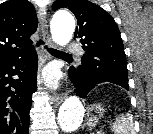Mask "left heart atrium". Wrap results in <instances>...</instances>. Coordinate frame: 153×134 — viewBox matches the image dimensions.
I'll list each match as a JSON object with an SVG mask.
<instances>
[{
    "label": "left heart atrium",
    "instance_id": "39dd6f15",
    "mask_svg": "<svg viewBox=\"0 0 153 134\" xmlns=\"http://www.w3.org/2000/svg\"><path fill=\"white\" fill-rule=\"evenodd\" d=\"M45 80L50 86H55L57 84L56 74L51 70L45 73Z\"/></svg>",
    "mask_w": 153,
    "mask_h": 134
}]
</instances>
